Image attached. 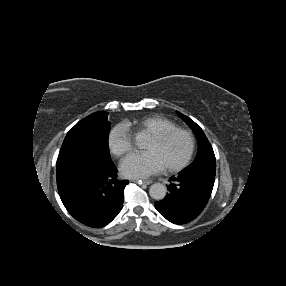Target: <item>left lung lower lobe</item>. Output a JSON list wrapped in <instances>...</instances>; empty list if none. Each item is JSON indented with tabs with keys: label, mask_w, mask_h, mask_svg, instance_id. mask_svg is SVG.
I'll return each mask as SVG.
<instances>
[{
	"label": "left lung lower lobe",
	"mask_w": 286,
	"mask_h": 286,
	"mask_svg": "<svg viewBox=\"0 0 286 286\" xmlns=\"http://www.w3.org/2000/svg\"><path fill=\"white\" fill-rule=\"evenodd\" d=\"M216 166L183 169L170 178L169 193L155 208L168 221L185 224L194 220L206 206L215 180Z\"/></svg>",
	"instance_id": "obj_1"
}]
</instances>
